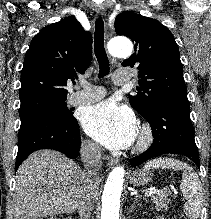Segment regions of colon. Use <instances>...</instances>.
Returning <instances> with one entry per match:
<instances>
[{
    "mask_svg": "<svg viewBox=\"0 0 211 219\" xmlns=\"http://www.w3.org/2000/svg\"><path fill=\"white\" fill-rule=\"evenodd\" d=\"M42 219H66V218L63 216H50V217H45ZM172 219H186V218L181 214H177V215L173 216Z\"/></svg>",
    "mask_w": 211,
    "mask_h": 219,
    "instance_id": "5ec220e1",
    "label": "colon"
}]
</instances>
